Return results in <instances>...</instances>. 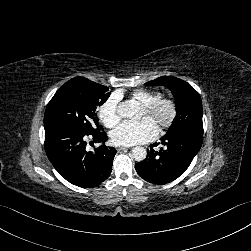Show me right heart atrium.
Instances as JSON below:
<instances>
[{"instance_id": "right-heart-atrium-1", "label": "right heart atrium", "mask_w": 251, "mask_h": 251, "mask_svg": "<svg viewBox=\"0 0 251 251\" xmlns=\"http://www.w3.org/2000/svg\"><path fill=\"white\" fill-rule=\"evenodd\" d=\"M119 96L116 94L109 95L100 103L97 113L100 121L108 128H113L120 120L119 115Z\"/></svg>"}]
</instances>
